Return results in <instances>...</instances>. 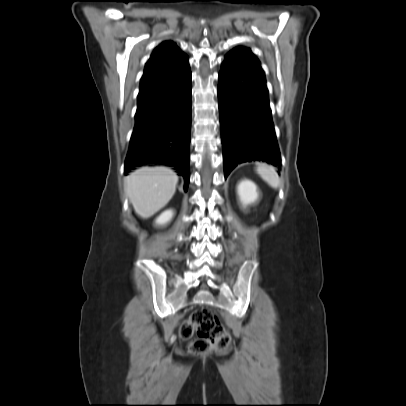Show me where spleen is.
Segmentation results:
<instances>
[{
    "label": "spleen",
    "mask_w": 406,
    "mask_h": 406,
    "mask_svg": "<svg viewBox=\"0 0 406 406\" xmlns=\"http://www.w3.org/2000/svg\"><path fill=\"white\" fill-rule=\"evenodd\" d=\"M256 172L260 177L266 181L272 188H278L280 186V179L277 172L273 167L267 164H259L256 168Z\"/></svg>",
    "instance_id": "spleen-1"
}]
</instances>
